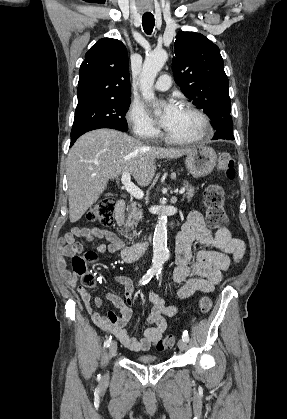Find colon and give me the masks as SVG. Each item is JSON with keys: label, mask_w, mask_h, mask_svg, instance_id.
Wrapping results in <instances>:
<instances>
[{"label": "colon", "mask_w": 287, "mask_h": 419, "mask_svg": "<svg viewBox=\"0 0 287 419\" xmlns=\"http://www.w3.org/2000/svg\"><path fill=\"white\" fill-rule=\"evenodd\" d=\"M217 168L220 174L232 180L235 177L234 160L230 153L222 152L218 157ZM204 204L208 223L213 228H225L228 218L224 210V190L217 184L209 185L204 191ZM89 221L98 222L103 225H112L115 219V201L112 198L100 200L89 212ZM65 247L73 252L72 268L75 274L83 277L86 286L94 284V278L89 273V265L96 259L92 251H83L82 245L75 240L65 241ZM212 307V301L208 296L200 299L198 309L201 314H206ZM176 336L169 334L160 338L155 347L163 351L173 347Z\"/></svg>", "instance_id": "colon-1"}]
</instances>
